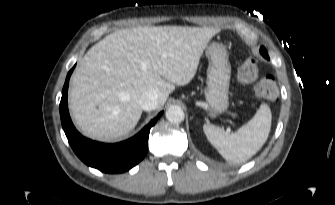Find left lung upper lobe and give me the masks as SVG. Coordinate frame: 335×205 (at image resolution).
Wrapping results in <instances>:
<instances>
[{"label": "left lung upper lobe", "mask_w": 335, "mask_h": 205, "mask_svg": "<svg viewBox=\"0 0 335 205\" xmlns=\"http://www.w3.org/2000/svg\"><path fill=\"white\" fill-rule=\"evenodd\" d=\"M260 53H261L266 59H269V56H268V53H267L265 47H261V48H260Z\"/></svg>", "instance_id": "1"}]
</instances>
